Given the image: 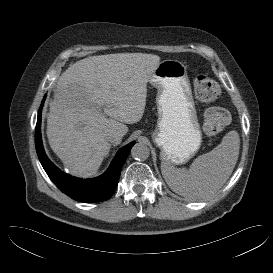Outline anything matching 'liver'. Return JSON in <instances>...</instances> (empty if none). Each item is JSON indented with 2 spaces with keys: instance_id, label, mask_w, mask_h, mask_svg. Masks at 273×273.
<instances>
[{
  "instance_id": "6515ba94",
  "label": "liver",
  "mask_w": 273,
  "mask_h": 273,
  "mask_svg": "<svg viewBox=\"0 0 273 273\" xmlns=\"http://www.w3.org/2000/svg\"><path fill=\"white\" fill-rule=\"evenodd\" d=\"M160 57L117 53L84 58L62 73L47 117L53 152L71 174L89 177L98 171L111 143L108 137L128 132L125 124L141 120L147 83Z\"/></svg>"
}]
</instances>
